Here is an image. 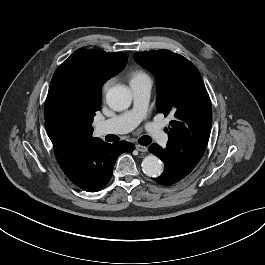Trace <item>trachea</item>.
<instances>
[{"label": "trachea", "mask_w": 265, "mask_h": 265, "mask_svg": "<svg viewBox=\"0 0 265 265\" xmlns=\"http://www.w3.org/2000/svg\"><path fill=\"white\" fill-rule=\"evenodd\" d=\"M118 140H119V138L117 136H114V135H109L108 139H107V141H118ZM138 141L141 145L145 146V145H149L152 140L149 136H142L141 138H139Z\"/></svg>", "instance_id": "1"}]
</instances>
